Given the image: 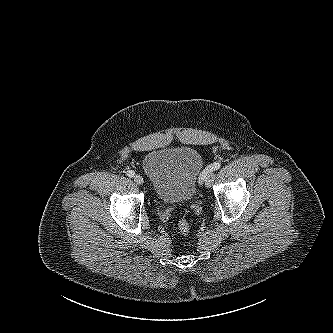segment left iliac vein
I'll return each instance as SVG.
<instances>
[{
  "label": "left iliac vein",
  "instance_id": "obj_1",
  "mask_svg": "<svg viewBox=\"0 0 333 333\" xmlns=\"http://www.w3.org/2000/svg\"><path fill=\"white\" fill-rule=\"evenodd\" d=\"M214 179H215L214 172L213 171L208 172L206 177H205V185L207 187H210L212 185Z\"/></svg>",
  "mask_w": 333,
  "mask_h": 333
}]
</instances>
